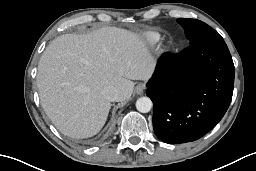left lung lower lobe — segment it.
<instances>
[{
	"mask_svg": "<svg viewBox=\"0 0 256 171\" xmlns=\"http://www.w3.org/2000/svg\"><path fill=\"white\" fill-rule=\"evenodd\" d=\"M234 64L224 41L190 44L162 55L146 94L153 101V128L163 142L199 139L226 113L233 94Z\"/></svg>",
	"mask_w": 256,
	"mask_h": 171,
	"instance_id": "0a47b994",
	"label": "left lung lower lobe"
}]
</instances>
